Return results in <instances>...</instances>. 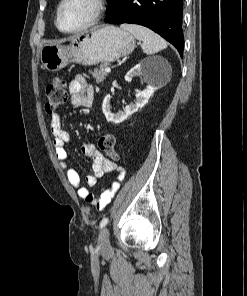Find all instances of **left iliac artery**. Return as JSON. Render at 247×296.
<instances>
[{"mask_svg":"<svg viewBox=\"0 0 247 296\" xmlns=\"http://www.w3.org/2000/svg\"><path fill=\"white\" fill-rule=\"evenodd\" d=\"M107 223H108V218H103L102 221L100 222V228L102 229L103 227H105Z\"/></svg>","mask_w":247,"mask_h":296,"instance_id":"obj_1","label":"left iliac artery"}]
</instances>
